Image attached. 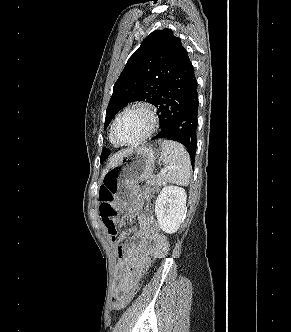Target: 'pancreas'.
Returning a JSON list of instances; mask_svg holds the SVG:
<instances>
[{"mask_svg":"<svg viewBox=\"0 0 291 332\" xmlns=\"http://www.w3.org/2000/svg\"><path fill=\"white\" fill-rule=\"evenodd\" d=\"M146 184L148 186H153L158 190L159 187L166 184L165 177L163 175L152 176L149 180H147Z\"/></svg>","mask_w":291,"mask_h":332,"instance_id":"obj_1","label":"pancreas"}]
</instances>
